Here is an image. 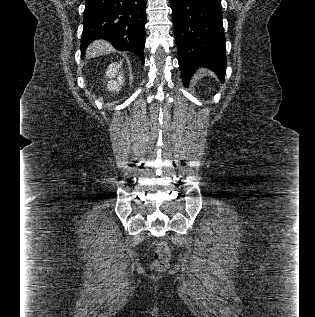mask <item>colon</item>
Segmentation results:
<instances>
[{
	"label": "colon",
	"instance_id": "5ec220e1",
	"mask_svg": "<svg viewBox=\"0 0 315 317\" xmlns=\"http://www.w3.org/2000/svg\"><path fill=\"white\" fill-rule=\"evenodd\" d=\"M170 261V250L165 242H160L154 252L152 267L156 271H163L168 267Z\"/></svg>",
	"mask_w": 315,
	"mask_h": 317
}]
</instances>
